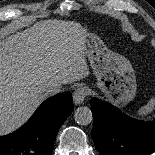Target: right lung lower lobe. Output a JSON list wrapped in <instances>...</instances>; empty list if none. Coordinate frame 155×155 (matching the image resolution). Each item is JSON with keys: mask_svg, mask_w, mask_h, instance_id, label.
I'll return each instance as SVG.
<instances>
[{"mask_svg": "<svg viewBox=\"0 0 155 155\" xmlns=\"http://www.w3.org/2000/svg\"><path fill=\"white\" fill-rule=\"evenodd\" d=\"M72 111L70 92L45 100L20 129L0 137V155H50L58 130Z\"/></svg>", "mask_w": 155, "mask_h": 155, "instance_id": "98d812e1", "label": "right lung lower lobe"}]
</instances>
